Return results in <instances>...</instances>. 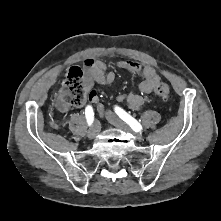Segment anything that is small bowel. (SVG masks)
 <instances>
[{"instance_id": "1", "label": "small bowel", "mask_w": 221, "mask_h": 221, "mask_svg": "<svg viewBox=\"0 0 221 221\" xmlns=\"http://www.w3.org/2000/svg\"><path fill=\"white\" fill-rule=\"evenodd\" d=\"M85 65L87 66L93 79L98 84L107 86L113 85L115 81V73L113 71H110L104 62L94 59H87L85 61ZM115 67L118 69L126 70L133 74H141L143 76V81L139 85L141 94H138L136 92H130L128 94L120 95L118 97V100L125 101L128 104V106L132 109L137 110L141 108L145 103V98L143 94H149L155 89L156 85L160 81L159 74L150 65L141 63L134 59L118 61L115 63ZM88 97L90 103L101 108L99 103V97L96 91H90ZM58 108L61 111H68L71 108V106L59 100Z\"/></svg>"}]
</instances>
